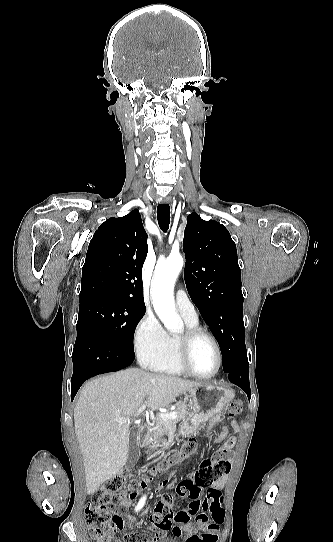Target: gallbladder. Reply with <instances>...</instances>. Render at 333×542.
<instances>
[{
	"label": "gallbladder",
	"instance_id": "obj_1",
	"mask_svg": "<svg viewBox=\"0 0 333 542\" xmlns=\"http://www.w3.org/2000/svg\"><path fill=\"white\" fill-rule=\"evenodd\" d=\"M138 428H131L129 436V446H128V458L126 462V468H133L136 462L139 460L140 448L137 442Z\"/></svg>",
	"mask_w": 333,
	"mask_h": 542
}]
</instances>
